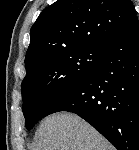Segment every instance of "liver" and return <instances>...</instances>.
<instances>
[{
	"label": "liver",
	"instance_id": "liver-1",
	"mask_svg": "<svg viewBox=\"0 0 139 150\" xmlns=\"http://www.w3.org/2000/svg\"><path fill=\"white\" fill-rule=\"evenodd\" d=\"M35 150H113V147L79 116L56 113L40 124Z\"/></svg>",
	"mask_w": 139,
	"mask_h": 150
}]
</instances>
